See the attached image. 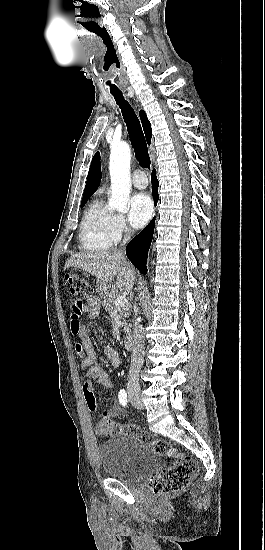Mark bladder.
Masks as SVG:
<instances>
[{"mask_svg": "<svg viewBox=\"0 0 265 550\" xmlns=\"http://www.w3.org/2000/svg\"><path fill=\"white\" fill-rule=\"evenodd\" d=\"M103 471L127 484L146 479L158 466L159 455L134 437L117 436L99 448Z\"/></svg>", "mask_w": 265, "mask_h": 550, "instance_id": "obj_1", "label": "bladder"}]
</instances>
